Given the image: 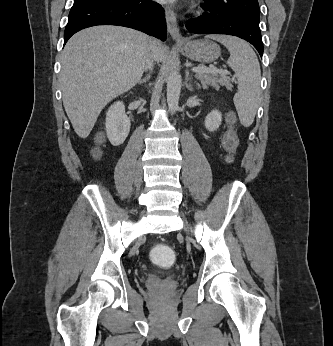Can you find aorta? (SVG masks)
<instances>
[{"label": "aorta", "instance_id": "1", "mask_svg": "<svg viewBox=\"0 0 333 346\" xmlns=\"http://www.w3.org/2000/svg\"><path fill=\"white\" fill-rule=\"evenodd\" d=\"M181 91V77L177 71H171L167 80V103L171 113L178 110Z\"/></svg>", "mask_w": 333, "mask_h": 346}]
</instances>
